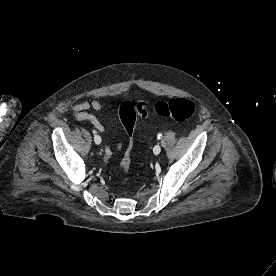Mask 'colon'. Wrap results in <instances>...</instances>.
I'll use <instances>...</instances> for the list:
<instances>
[{
	"label": "colon",
	"mask_w": 276,
	"mask_h": 276,
	"mask_svg": "<svg viewBox=\"0 0 276 276\" xmlns=\"http://www.w3.org/2000/svg\"><path fill=\"white\" fill-rule=\"evenodd\" d=\"M195 110L194 103L185 98H172L168 101H158L153 107L156 115L170 117L176 121H185L189 119ZM118 114L120 120L130 137L129 151L124 156L118 169L126 172L130 164L131 137L133 135L136 118H147L149 115L148 105L145 102L133 104L130 101H124L119 105Z\"/></svg>",
	"instance_id": "colon-1"
}]
</instances>
